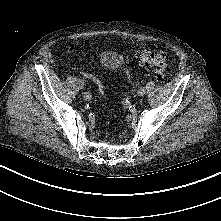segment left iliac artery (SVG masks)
<instances>
[{"label": "left iliac artery", "instance_id": "1", "mask_svg": "<svg viewBox=\"0 0 221 221\" xmlns=\"http://www.w3.org/2000/svg\"><path fill=\"white\" fill-rule=\"evenodd\" d=\"M122 105H123V107L124 108H126V109H130L131 108V101H130V99L129 98H124L123 100H122Z\"/></svg>", "mask_w": 221, "mask_h": 221}]
</instances>
